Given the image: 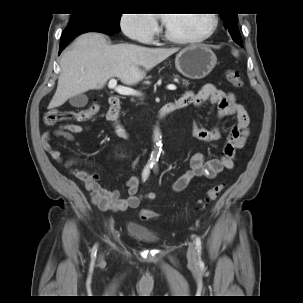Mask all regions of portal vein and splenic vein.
<instances>
[{"label": "portal vein and splenic vein", "mask_w": 303, "mask_h": 303, "mask_svg": "<svg viewBox=\"0 0 303 303\" xmlns=\"http://www.w3.org/2000/svg\"><path fill=\"white\" fill-rule=\"evenodd\" d=\"M108 87L110 89H114L118 94H121V95H127V96H140L141 95V93H139L138 91H136L130 87H124V86L117 85V80L114 78H112L109 81ZM167 89L176 90V86L174 84H169V85H167Z\"/></svg>", "instance_id": "18ae733b"}]
</instances>
